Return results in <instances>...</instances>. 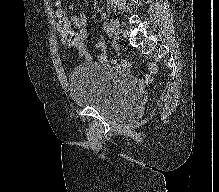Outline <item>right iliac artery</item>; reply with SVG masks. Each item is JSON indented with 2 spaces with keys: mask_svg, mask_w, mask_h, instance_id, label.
Segmentation results:
<instances>
[{
  "mask_svg": "<svg viewBox=\"0 0 219 192\" xmlns=\"http://www.w3.org/2000/svg\"><path fill=\"white\" fill-rule=\"evenodd\" d=\"M103 16H104V15H103ZM104 18H105V17H104ZM103 29H104V31L106 32L107 36H108L109 38H111V37H112V30H111L110 26H109L107 23H104V24H103Z\"/></svg>",
  "mask_w": 219,
  "mask_h": 192,
  "instance_id": "82829eb1",
  "label": "right iliac artery"
}]
</instances>
